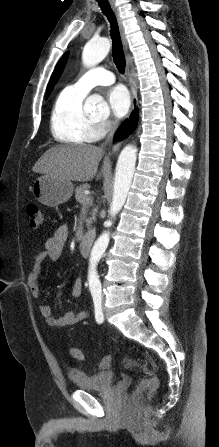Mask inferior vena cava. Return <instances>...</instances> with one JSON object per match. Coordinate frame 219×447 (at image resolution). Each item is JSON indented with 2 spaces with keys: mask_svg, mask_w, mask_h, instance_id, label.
Masks as SVG:
<instances>
[{
  "mask_svg": "<svg viewBox=\"0 0 219 447\" xmlns=\"http://www.w3.org/2000/svg\"><path fill=\"white\" fill-rule=\"evenodd\" d=\"M115 124H116V123H114L113 127L111 128V130H110V132H109V135H108V137H107V140H106L105 144H106L107 142H110V140L112 139V137H113V135H114V132H115V129H116V125H115Z\"/></svg>",
  "mask_w": 219,
  "mask_h": 447,
  "instance_id": "1",
  "label": "inferior vena cava"
}]
</instances>
